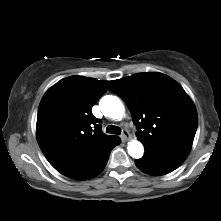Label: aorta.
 Returning a JSON list of instances; mask_svg holds the SVG:
<instances>
[{"instance_id": "1", "label": "aorta", "mask_w": 221, "mask_h": 221, "mask_svg": "<svg viewBox=\"0 0 221 221\" xmlns=\"http://www.w3.org/2000/svg\"><path fill=\"white\" fill-rule=\"evenodd\" d=\"M100 109L105 116L112 119H121L125 108L121 100L112 95H106L100 100ZM128 153L132 158L139 159L143 156L144 147L138 140H132L127 146Z\"/></svg>"}]
</instances>
